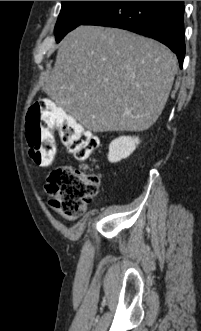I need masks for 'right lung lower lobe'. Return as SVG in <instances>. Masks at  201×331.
I'll return each mask as SVG.
<instances>
[{"label": "right lung lower lobe", "instance_id": "1", "mask_svg": "<svg viewBox=\"0 0 201 331\" xmlns=\"http://www.w3.org/2000/svg\"><path fill=\"white\" fill-rule=\"evenodd\" d=\"M184 1H110L83 25L129 30L168 46L182 68L185 56Z\"/></svg>", "mask_w": 201, "mask_h": 331}]
</instances>
